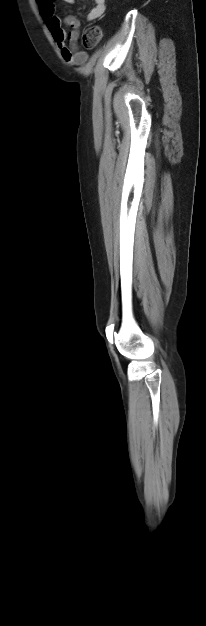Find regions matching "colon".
Instances as JSON below:
<instances>
[{
  "label": "colon",
  "mask_w": 206,
  "mask_h": 626,
  "mask_svg": "<svg viewBox=\"0 0 206 626\" xmlns=\"http://www.w3.org/2000/svg\"><path fill=\"white\" fill-rule=\"evenodd\" d=\"M102 37V31L100 27L94 26L89 28L83 35V44L86 48H93L97 45Z\"/></svg>",
  "instance_id": "obj_1"
}]
</instances>
